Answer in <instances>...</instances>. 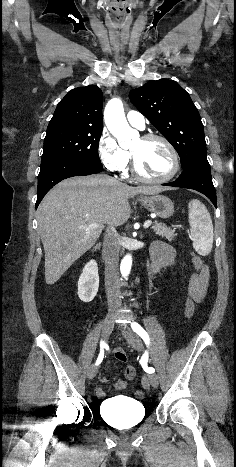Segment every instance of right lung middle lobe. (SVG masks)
I'll return each mask as SVG.
<instances>
[{
	"label": "right lung middle lobe",
	"mask_w": 236,
	"mask_h": 467,
	"mask_svg": "<svg viewBox=\"0 0 236 467\" xmlns=\"http://www.w3.org/2000/svg\"><path fill=\"white\" fill-rule=\"evenodd\" d=\"M101 133L102 129L93 128H47L41 164L58 158H73L102 167L98 155Z\"/></svg>",
	"instance_id": "1"
}]
</instances>
